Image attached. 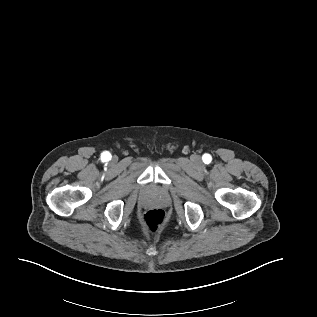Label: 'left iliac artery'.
<instances>
[{"instance_id": "obj_1", "label": "left iliac artery", "mask_w": 317, "mask_h": 317, "mask_svg": "<svg viewBox=\"0 0 317 317\" xmlns=\"http://www.w3.org/2000/svg\"><path fill=\"white\" fill-rule=\"evenodd\" d=\"M211 160H212V157L209 154H205L203 156L204 163L209 164L211 162Z\"/></svg>"}]
</instances>
